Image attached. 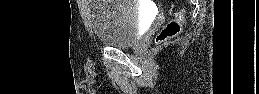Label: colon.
<instances>
[{"instance_id": "5ec220e1", "label": "colon", "mask_w": 259, "mask_h": 94, "mask_svg": "<svg viewBox=\"0 0 259 94\" xmlns=\"http://www.w3.org/2000/svg\"><path fill=\"white\" fill-rule=\"evenodd\" d=\"M183 19V13L180 11L176 12L174 18L170 20L158 34L157 42L162 43L178 35L181 31Z\"/></svg>"}]
</instances>
